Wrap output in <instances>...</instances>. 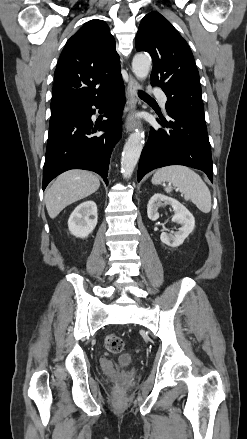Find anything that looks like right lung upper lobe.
<instances>
[{
	"label": "right lung upper lobe",
	"instance_id": "right-lung-upper-lobe-1",
	"mask_svg": "<svg viewBox=\"0 0 247 439\" xmlns=\"http://www.w3.org/2000/svg\"><path fill=\"white\" fill-rule=\"evenodd\" d=\"M119 55L108 25L85 23L66 43L54 76L51 112L107 95L121 81Z\"/></svg>",
	"mask_w": 247,
	"mask_h": 439
}]
</instances>
